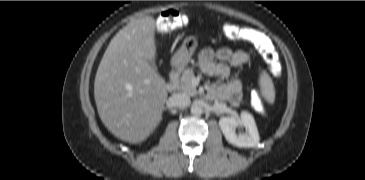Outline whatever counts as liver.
Instances as JSON below:
<instances>
[{
  "label": "liver",
  "instance_id": "obj_1",
  "mask_svg": "<svg viewBox=\"0 0 365 180\" xmlns=\"http://www.w3.org/2000/svg\"><path fill=\"white\" fill-rule=\"evenodd\" d=\"M155 19H134L109 43L99 64L94 97L102 123L117 138L143 142L162 120L165 80L152 68Z\"/></svg>",
  "mask_w": 365,
  "mask_h": 180
}]
</instances>
